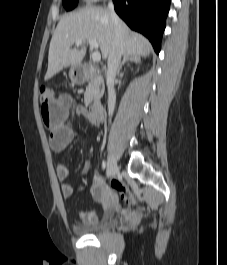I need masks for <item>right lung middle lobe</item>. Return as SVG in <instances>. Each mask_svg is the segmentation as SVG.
I'll return each mask as SVG.
<instances>
[{
    "label": "right lung middle lobe",
    "instance_id": "obj_1",
    "mask_svg": "<svg viewBox=\"0 0 227 265\" xmlns=\"http://www.w3.org/2000/svg\"><path fill=\"white\" fill-rule=\"evenodd\" d=\"M78 0H63V5L67 10H72L76 7Z\"/></svg>",
    "mask_w": 227,
    "mask_h": 265
}]
</instances>
